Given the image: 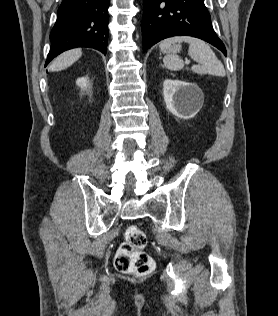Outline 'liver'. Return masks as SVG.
<instances>
[{
    "instance_id": "6515ba94",
    "label": "liver",
    "mask_w": 278,
    "mask_h": 316,
    "mask_svg": "<svg viewBox=\"0 0 278 316\" xmlns=\"http://www.w3.org/2000/svg\"><path fill=\"white\" fill-rule=\"evenodd\" d=\"M82 55L81 49H72L59 55L50 65L49 71H61L74 64Z\"/></svg>"
}]
</instances>
